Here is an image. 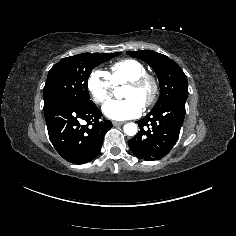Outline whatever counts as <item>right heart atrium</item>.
Returning <instances> with one entry per match:
<instances>
[{
  "instance_id": "d8ad5b80",
  "label": "right heart atrium",
  "mask_w": 236,
  "mask_h": 236,
  "mask_svg": "<svg viewBox=\"0 0 236 236\" xmlns=\"http://www.w3.org/2000/svg\"><path fill=\"white\" fill-rule=\"evenodd\" d=\"M87 87L95 104L102 107L112 99L116 92V85L111 75L99 69L92 71Z\"/></svg>"
}]
</instances>
